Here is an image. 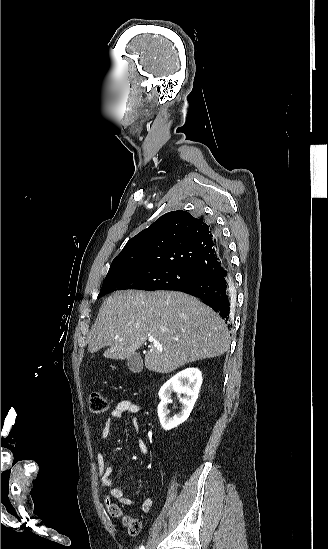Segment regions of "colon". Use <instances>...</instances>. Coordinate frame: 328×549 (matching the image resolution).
Listing matches in <instances>:
<instances>
[{"mask_svg":"<svg viewBox=\"0 0 328 549\" xmlns=\"http://www.w3.org/2000/svg\"><path fill=\"white\" fill-rule=\"evenodd\" d=\"M89 408L93 413H103L107 410V402L103 395L94 391L89 396ZM105 507L109 515L122 521L124 527L130 535H138L141 530V522L133 517L123 514L120 506L114 503L109 497L105 498Z\"/></svg>","mask_w":328,"mask_h":549,"instance_id":"1","label":"colon"}]
</instances>
